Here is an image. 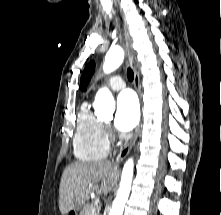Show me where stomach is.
I'll return each instance as SVG.
<instances>
[{"instance_id": "0dacf381", "label": "stomach", "mask_w": 221, "mask_h": 215, "mask_svg": "<svg viewBox=\"0 0 221 215\" xmlns=\"http://www.w3.org/2000/svg\"><path fill=\"white\" fill-rule=\"evenodd\" d=\"M83 211L81 212L79 209L70 210L67 215H82Z\"/></svg>"}]
</instances>
